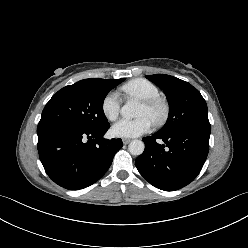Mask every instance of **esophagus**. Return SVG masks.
I'll return each mask as SVG.
<instances>
[{"instance_id":"esophagus-1","label":"esophagus","mask_w":248,"mask_h":248,"mask_svg":"<svg viewBox=\"0 0 248 248\" xmlns=\"http://www.w3.org/2000/svg\"><path fill=\"white\" fill-rule=\"evenodd\" d=\"M122 141H123V144L126 145V144H128L131 140L128 139V138H123Z\"/></svg>"}]
</instances>
